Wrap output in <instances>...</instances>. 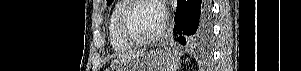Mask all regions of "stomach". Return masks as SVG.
Wrapping results in <instances>:
<instances>
[{"mask_svg": "<svg viewBox=\"0 0 301 71\" xmlns=\"http://www.w3.org/2000/svg\"><path fill=\"white\" fill-rule=\"evenodd\" d=\"M178 66L179 57L176 53L158 49L121 60L109 71H176Z\"/></svg>", "mask_w": 301, "mask_h": 71, "instance_id": "1", "label": "stomach"}]
</instances>
